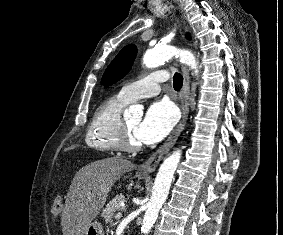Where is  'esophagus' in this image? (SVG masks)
<instances>
[{
	"label": "esophagus",
	"instance_id": "esophagus-1",
	"mask_svg": "<svg viewBox=\"0 0 283 235\" xmlns=\"http://www.w3.org/2000/svg\"><path fill=\"white\" fill-rule=\"evenodd\" d=\"M183 71V87L180 94L181 101V112L182 118L176 128L172 131L167 140L159 146V148L153 152L150 157L143 162L137 169V171L143 175H149L159 165L160 161L165 157V155L171 150V148L175 145L179 135L185 127V124L188 119L189 114V92H190V75L189 70L186 66H182Z\"/></svg>",
	"mask_w": 283,
	"mask_h": 235
}]
</instances>
